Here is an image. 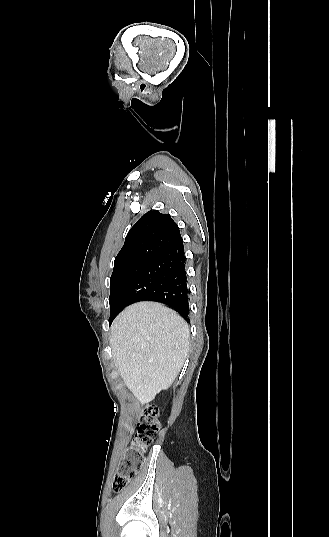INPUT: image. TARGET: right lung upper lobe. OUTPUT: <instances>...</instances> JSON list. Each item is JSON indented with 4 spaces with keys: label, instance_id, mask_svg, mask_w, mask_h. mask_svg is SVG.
Listing matches in <instances>:
<instances>
[{
    "label": "right lung upper lobe",
    "instance_id": "cb5924a9",
    "mask_svg": "<svg viewBox=\"0 0 329 537\" xmlns=\"http://www.w3.org/2000/svg\"><path fill=\"white\" fill-rule=\"evenodd\" d=\"M181 241L179 228L170 215L151 210L128 232L115 258L114 270L133 261H153Z\"/></svg>",
    "mask_w": 329,
    "mask_h": 537
}]
</instances>
